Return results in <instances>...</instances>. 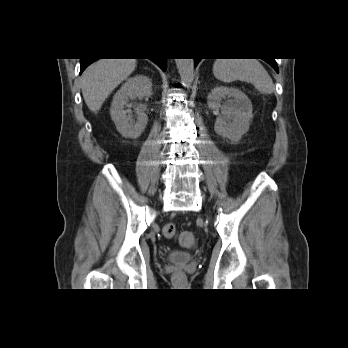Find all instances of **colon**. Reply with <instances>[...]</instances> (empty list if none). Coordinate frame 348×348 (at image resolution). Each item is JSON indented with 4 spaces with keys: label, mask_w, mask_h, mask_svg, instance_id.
Wrapping results in <instances>:
<instances>
[{
    "label": "colon",
    "mask_w": 348,
    "mask_h": 348,
    "mask_svg": "<svg viewBox=\"0 0 348 348\" xmlns=\"http://www.w3.org/2000/svg\"><path fill=\"white\" fill-rule=\"evenodd\" d=\"M163 234L167 238H173L176 235V228L173 224L168 223L163 227ZM179 242L186 248H192L196 244V237L192 232H184L179 236Z\"/></svg>",
    "instance_id": "5ec220e1"
}]
</instances>
